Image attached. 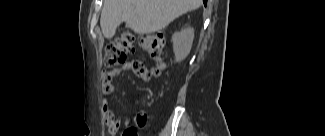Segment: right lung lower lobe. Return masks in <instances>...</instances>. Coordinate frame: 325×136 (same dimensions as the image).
<instances>
[{
	"instance_id": "right-lung-lower-lobe-1",
	"label": "right lung lower lobe",
	"mask_w": 325,
	"mask_h": 136,
	"mask_svg": "<svg viewBox=\"0 0 325 136\" xmlns=\"http://www.w3.org/2000/svg\"><path fill=\"white\" fill-rule=\"evenodd\" d=\"M203 2H204V4L206 5V3H207V0H203Z\"/></svg>"
}]
</instances>
